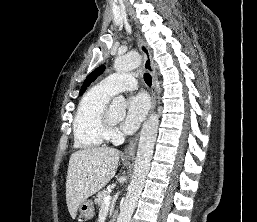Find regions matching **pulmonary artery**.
Instances as JSON below:
<instances>
[{"label":"pulmonary artery","instance_id":"pulmonary-artery-1","mask_svg":"<svg viewBox=\"0 0 257 222\" xmlns=\"http://www.w3.org/2000/svg\"><path fill=\"white\" fill-rule=\"evenodd\" d=\"M98 87L113 96L121 91L136 89L137 79L132 74L117 73L101 80Z\"/></svg>","mask_w":257,"mask_h":222}]
</instances>
